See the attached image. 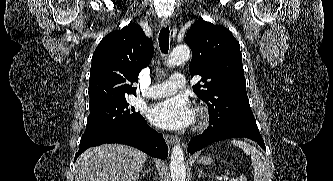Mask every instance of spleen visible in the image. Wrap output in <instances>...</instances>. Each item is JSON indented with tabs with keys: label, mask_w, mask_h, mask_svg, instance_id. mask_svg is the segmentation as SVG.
<instances>
[{
	"label": "spleen",
	"mask_w": 333,
	"mask_h": 181,
	"mask_svg": "<svg viewBox=\"0 0 333 181\" xmlns=\"http://www.w3.org/2000/svg\"><path fill=\"white\" fill-rule=\"evenodd\" d=\"M234 146L241 148L246 155H251L254 170V181H268L270 175V165L262 153L254 146L241 140H232Z\"/></svg>",
	"instance_id": "obj_1"
}]
</instances>
